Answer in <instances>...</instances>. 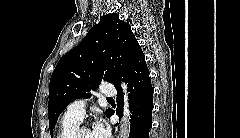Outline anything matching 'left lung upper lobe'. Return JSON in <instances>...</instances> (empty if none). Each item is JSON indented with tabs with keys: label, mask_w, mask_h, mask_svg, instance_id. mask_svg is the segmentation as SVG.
I'll use <instances>...</instances> for the list:
<instances>
[{
	"label": "left lung upper lobe",
	"mask_w": 240,
	"mask_h": 138,
	"mask_svg": "<svg viewBox=\"0 0 240 138\" xmlns=\"http://www.w3.org/2000/svg\"><path fill=\"white\" fill-rule=\"evenodd\" d=\"M142 51L131 26L118 14H107L84 39L57 63L49 86L48 118L50 133L62 111L74 100L89 98L100 81L115 88L125 77L137 54ZM111 109L106 110V116Z\"/></svg>",
	"instance_id": "obj_1"
}]
</instances>
